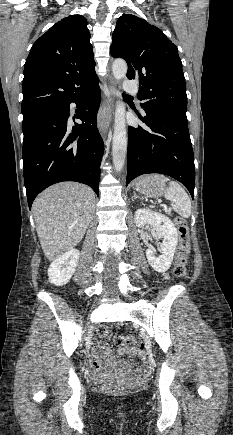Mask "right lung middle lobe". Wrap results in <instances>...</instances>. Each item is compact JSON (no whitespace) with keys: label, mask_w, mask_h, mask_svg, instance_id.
Segmentation results:
<instances>
[{"label":"right lung middle lobe","mask_w":233,"mask_h":435,"mask_svg":"<svg viewBox=\"0 0 233 435\" xmlns=\"http://www.w3.org/2000/svg\"><path fill=\"white\" fill-rule=\"evenodd\" d=\"M39 114V113H38ZM38 114H34V115H30V116H24L23 117V121H26V120H28V119H31L32 117H34V116H36V115H38Z\"/></svg>","instance_id":"dd1d6c3e"}]
</instances>
